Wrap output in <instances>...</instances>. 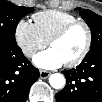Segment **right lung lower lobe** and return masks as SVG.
Here are the masks:
<instances>
[{
	"instance_id": "98d812e1",
	"label": "right lung lower lobe",
	"mask_w": 102,
	"mask_h": 102,
	"mask_svg": "<svg viewBox=\"0 0 102 102\" xmlns=\"http://www.w3.org/2000/svg\"><path fill=\"white\" fill-rule=\"evenodd\" d=\"M39 76L38 69L18 45L0 44V99L3 102H25Z\"/></svg>"
}]
</instances>
